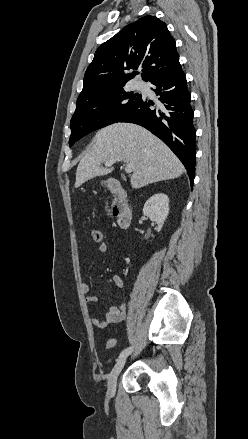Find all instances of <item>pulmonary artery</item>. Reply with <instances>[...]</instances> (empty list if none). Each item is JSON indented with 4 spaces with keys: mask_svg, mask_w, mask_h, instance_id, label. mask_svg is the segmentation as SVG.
Segmentation results:
<instances>
[{
    "mask_svg": "<svg viewBox=\"0 0 248 439\" xmlns=\"http://www.w3.org/2000/svg\"><path fill=\"white\" fill-rule=\"evenodd\" d=\"M141 87V84L139 82L134 83V88L139 89Z\"/></svg>",
    "mask_w": 248,
    "mask_h": 439,
    "instance_id": "pulmonary-artery-1",
    "label": "pulmonary artery"
}]
</instances>
